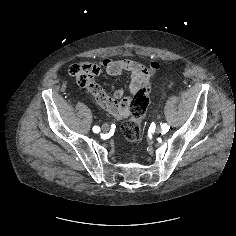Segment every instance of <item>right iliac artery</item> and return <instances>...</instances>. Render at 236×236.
Wrapping results in <instances>:
<instances>
[{
    "label": "right iliac artery",
    "mask_w": 236,
    "mask_h": 236,
    "mask_svg": "<svg viewBox=\"0 0 236 236\" xmlns=\"http://www.w3.org/2000/svg\"><path fill=\"white\" fill-rule=\"evenodd\" d=\"M93 132H94V133L100 132V127H99V126H94V127H93Z\"/></svg>",
    "instance_id": "82829eb1"
}]
</instances>
